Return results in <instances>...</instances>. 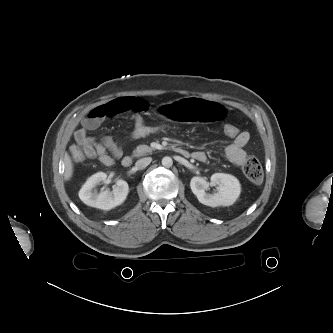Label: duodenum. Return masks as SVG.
<instances>
[{"label": "duodenum", "instance_id": "410a0bca", "mask_svg": "<svg viewBox=\"0 0 333 333\" xmlns=\"http://www.w3.org/2000/svg\"><path fill=\"white\" fill-rule=\"evenodd\" d=\"M176 150L183 155H187V152L181 148H176ZM131 164H132V158L130 156H126L122 159V165L124 167H129Z\"/></svg>", "mask_w": 333, "mask_h": 333}]
</instances>
